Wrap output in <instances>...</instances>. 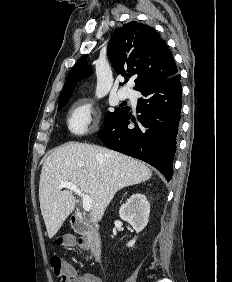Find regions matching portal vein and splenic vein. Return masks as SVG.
Returning a JSON list of instances; mask_svg holds the SVG:
<instances>
[{"instance_id":"1","label":"portal vein and splenic vein","mask_w":232,"mask_h":282,"mask_svg":"<svg viewBox=\"0 0 232 282\" xmlns=\"http://www.w3.org/2000/svg\"><path fill=\"white\" fill-rule=\"evenodd\" d=\"M69 189L70 191H73L76 195L80 196L82 198L83 201V209L85 211H90L92 208V201L89 195L82 193V191L80 190V188L69 181H63L60 183L59 185V189Z\"/></svg>"}]
</instances>
